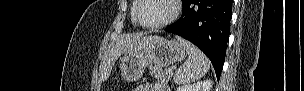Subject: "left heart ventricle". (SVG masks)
<instances>
[{"instance_id":"b2bd125f","label":"left heart ventricle","mask_w":304,"mask_h":91,"mask_svg":"<svg viewBox=\"0 0 304 91\" xmlns=\"http://www.w3.org/2000/svg\"><path fill=\"white\" fill-rule=\"evenodd\" d=\"M171 12L168 0H143L139 18L144 24H155L166 19Z\"/></svg>"}]
</instances>
